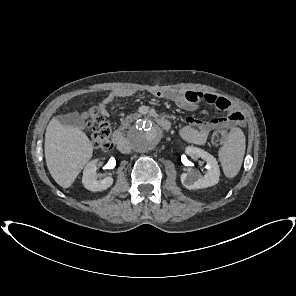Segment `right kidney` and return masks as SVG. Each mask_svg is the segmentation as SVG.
I'll return each instance as SVG.
<instances>
[{"label":"right kidney","instance_id":"obj_1","mask_svg":"<svg viewBox=\"0 0 296 296\" xmlns=\"http://www.w3.org/2000/svg\"><path fill=\"white\" fill-rule=\"evenodd\" d=\"M98 160H92L87 163L83 170L82 183L83 186L93 192L103 191L109 188L113 184V178L110 176L104 179H98L96 172Z\"/></svg>","mask_w":296,"mask_h":296}]
</instances>
